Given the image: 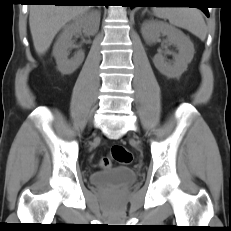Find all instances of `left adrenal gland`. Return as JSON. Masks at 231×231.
Masks as SVG:
<instances>
[{"mask_svg": "<svg viewBox=\"0 0 231 231\" xmlns=\"http://www.w3.org/2000/svg\"><path fill=\"white\" fill-rule=\"evenodd\" d=\"M146 13V10H144L143 12H142V15H144Z\"/></svg>", "mask_w": 231, "mask_h": 231, "instance_id": "a2214340", "label": "left adrenal gland"}]
</instances>
